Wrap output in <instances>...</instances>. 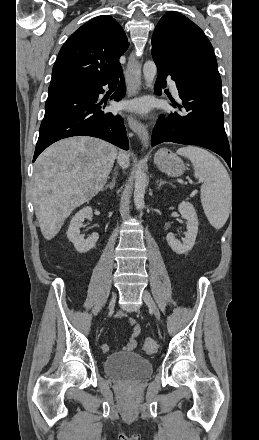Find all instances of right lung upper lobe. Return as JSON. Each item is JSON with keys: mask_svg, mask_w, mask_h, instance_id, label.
<instances>
[{"mask_svg": "<svg viewBox=\"0 0 259 440\" xmlns=\"http://www.w3.org/2000/svg\"><path fill=\"white\" fill-rule=\"evenodd\" d=\"M129 43L111 16L96 17L78 28L59 51L49 91L103 82L121 70Z\"/></svg>", "mask_w": 259, "mask_h": 440, "instance_id": "1", "label": "right lung upper lobe"}]
</instances>
